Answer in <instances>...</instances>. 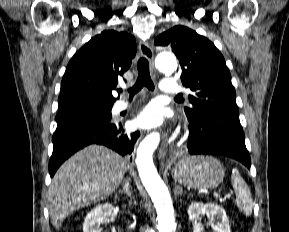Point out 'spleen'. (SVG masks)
I'll return each mask as SVG.
<instances>
[{
    "mask_svg": "<svg viewBox=\"0 0 289 232\" xmlns=\"http://www.w3.org/2000/svg\"><path fill=\"white\" fill-rule=\"evenodd\" d=\"M231 180L237 197L235 202L238 209L246 216H250L252 213L253 201L248 185L237 170L233 171Z\"/></svg>",
    "mask_w": 289,
    "mask_h": 232,
    "instance_id": "obj_1",
    "label": "spleen"
}]
</instances>
